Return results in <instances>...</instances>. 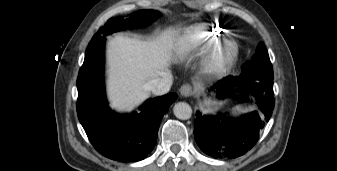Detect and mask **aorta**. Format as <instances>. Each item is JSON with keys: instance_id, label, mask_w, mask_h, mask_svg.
I'll list each match as a JSON object with an SVG mask.
<instances>
[{"instance_id": "762f6f07", "label": "aorta", "mask_w": 337, "mask_h": 171, "mask_svg": "<svg viewBox=\"0 0 337 171\" xmlns=\"http://www.w3.org/2000/svg\"><path fill=\"white\" fill-rule=\"evenodd\" d=\"M174 115L181 120H187L192 116V109L186 102H178L173 108Z\"/></svg>"}]
</instances>
